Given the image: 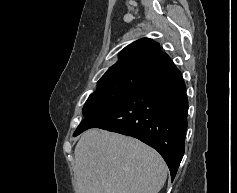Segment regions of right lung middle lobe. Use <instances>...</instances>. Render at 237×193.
Masks as SVG:
<instances>
[{"instance_id": "obj_1", "label": "right lung middle lobe", "mask_w": 237, "mask_h": 193, "mask_svg": "<svg viewBox=\"0 0 237 193\" xmlns=\"http://www.w3.org/2000/svg\"><path fill=\"white\" fill-rule=\"evenodd\" d=\"M144 74L145 71H130L99 80L97 91L89 96L84 105V117L98 115L123 102L138 88Z\"/></svg>"}]
</instances>
